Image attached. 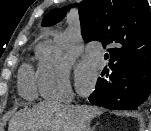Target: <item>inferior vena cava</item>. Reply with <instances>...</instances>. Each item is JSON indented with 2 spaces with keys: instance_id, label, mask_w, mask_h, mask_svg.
<instances>
[{
  "instance_id": "obj_1",
  "label": "inferior vena cava",
  "mask_w": 151,
  "mask_h": 131,
  "mask_svg": "<svg viewBox=\"0 0 151 131\" xmlns=\"http://www.w3.org/2000/svg\"><path fill=\"white\" fill-rule=\"evenodd\" d=\"M61 102L68 104L70 100L68 98H63V99H60L58 103L61 104Z\"/></svg>"
}]
</instances>
